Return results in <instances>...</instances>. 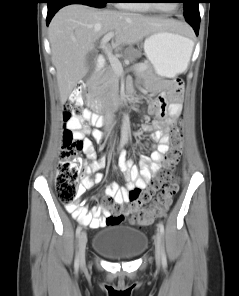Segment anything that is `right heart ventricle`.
I'll use <instances>...</instances> for the list:
<instances>
[{"label":"right heart ventricle","mask_w":239,"mask_h":296,"mask_svg":"<svg viewBox=\"0 0 239 296\" xmlns=\"http://www.w3.org/2000/svg\"><path fill=\"white\" fill-rule=\"evenodd\" d=\"M143 2V0H120L117 4V7L124 9H134L140 11H149L150 7L146 3H137Z\"/></svg>","instance_id":"right-heart-ventricle-1"}]
</instances>
